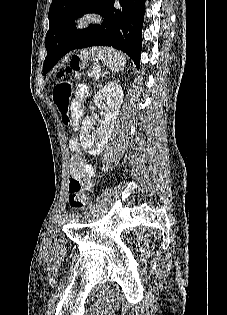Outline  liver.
Segmentation results:
<instances>
[{"instance_id": "liver-1", "label": "liver", "mask_w": 227, "mask_h": 315, "mask_svg": "<svg viewBox=\"0 0 227 315\" xmlns=\"http://www.w3.org/2000/svg\"><path fill=\"white\" fill-rule=\"evenodd\" d=\"M94 52H96V50H95V49H92V53H94Z\"/></svg>"}]
</instances>
